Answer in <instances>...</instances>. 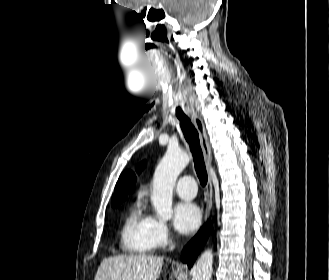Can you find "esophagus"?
<instances>
[{
  "mask_svg": "<svg viewBox=\"0 0 329 280\" xmlns=\"http://www.w3.org/2000/svg\"><path fill=\"white\" fill-rule=\"evenodd\" d=\"M189 115L191 117V120H192L194 126L196 127V129L199 133L205 163H206L208 171H210L211 163H212V155H211L210 144L208 141V137H207V133H206V129H205L203 120L195 112H192ZM212 196H213L212 179H211V175L209 173L208 182H207V186H206V193H205L206 208H205V213H204V223L207 221V219L210 216V211H211V206H212Z\"/></svg>",
  "mask_w": 329,
  "mask_h": 280,
  "instance_id": "34e87169",
  "label": "esophagus"
}]
</instances>
